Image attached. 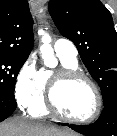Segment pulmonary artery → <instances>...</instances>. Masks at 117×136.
I'll list each match as a JSON object with an SVG mask.
<instances>
[{"label":"pulmonary artery","instance_id":"pulmonary-artery-1","mask_svg":"<svg viewBox=\"0 0 117 136\" xmlns=\"http://www.w3.org/2000/svg\"><path fill=\"white\" fill-rule=\"evenodd\" d=\"M54 50L58 56L71 61H77L78 51L74 43L68 39L60 38L54 43Z\"/></svg>","mask_w":117,"mask_h":136}]
</instances>
